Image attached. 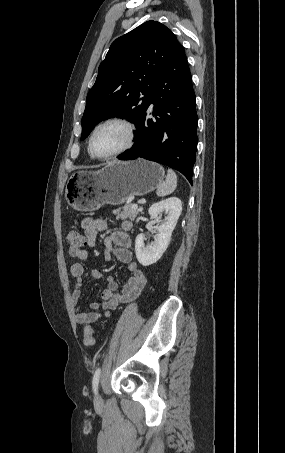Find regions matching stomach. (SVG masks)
Wrapping results in <instances>:
<instances>
[{
  "label": "stomach",
  "instance_id": "0dacf381",
  "mask_svg": "<svg viewBox=\"0 0 285 453\" xmlns=\"http://www.w3.org/2000/svg\"><path fill=\"white\" fill-rule=\"evenodd\" d=\"M164 177L161 165L144 159L112 162L95 172H74L66 185V200L77 211H95L143 196L158 188Z\"/></svg>",
  "mask_w": 285,
  "mask_h": 453
}]
</instances>
